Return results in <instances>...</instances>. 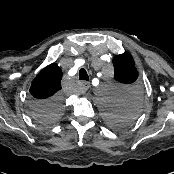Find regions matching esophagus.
I'll return each instance as SVG.
<instances>
[{"label":"esophagus","instance_id":"1","mask_svg":"<svg viewBox=\"0 0 174 174\" xmlns=\"http://www.w3.org/2000/svg\"><path fill=\"white\" fill-rule=\"evenodd\" d=\"M89 87H90L89 82L84 81V82L81 83V89H82L83 92L87 91L89 89Z\"/></svg>","mask_w":174,"mask_h":174}]
</instances>
